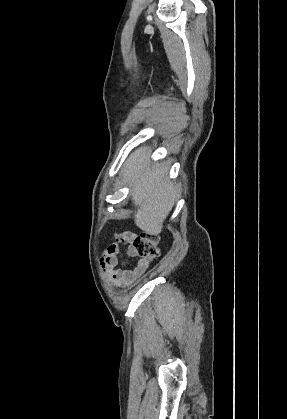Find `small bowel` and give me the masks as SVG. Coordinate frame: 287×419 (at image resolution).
Segmentation results:
<instances>
[{
    "mask_svg": "<svg viewBox=\"0 0 287 419\" xmlns=\"http://www.w3.org/2000/svg\"><path fill=\"white\" fill-rule=\"evenodd\" d=\"M135 235L132 232L125 231L122 233L115 232L112 235L113 242L109 244L100 259V264L106 273L110 276L111 280L120 286H129L134 283L137 277L143 271L145 264L140 261L134 269L118 268L119 258L118 255L122 245H128L127 254L134 257L135 254L130 247V242Z\"/></svg>",
    "mask_w": 287,
    "mask_h": 419,
    "instance_id": "obj_1",
    "label": "small bowel"
}]
</instances>
